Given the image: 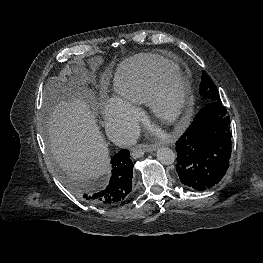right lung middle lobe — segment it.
Instances as JSON below:
<instances>
[{
	"instance_id": "1",
	"label": "right lung middle lobe",
	"mask_w": 263,
	"mask_h": 263,
	"mask_svg": "<svg viewBox=\"0 0 263 263\" xmlns=\"http://www.w3.org/2000/svg\"><path fill=\"white\" fill-rule=\"evenodd\" d=\"M74 189L76 190V192H77L78 194H81L82 189H80L79 184H75V185H74Z\"/></svg>"
}]
</instances>
